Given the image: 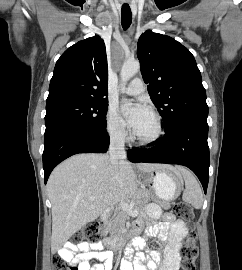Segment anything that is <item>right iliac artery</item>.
<instances>
[{
	"mask_svg": "<svg viewBox=\"0 0 242 270\" xmlns=\"http://www.w3.org/2000/svg\"><path fill=\"white\" fill-rule=\"evenodd\" d=\"M124 268H125V266H122V267H121V270H125Z\"/></svg>",
	"mask_w": 242,
	"mask_h": 270,
	"instance_id": "right-iliac-artery-1",
	"label": "right iliac artery"
}]
</instances>
